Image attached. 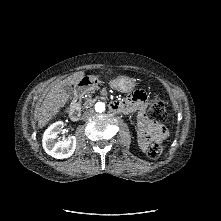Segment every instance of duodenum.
Here are the masks:
<instances>
[{"instance_id": "duodenum-1", "label": "duodenum", "mask_w": 221, "mask_h": 221, "mask_svg": "<svg viewBox=\"0 0 221 221\" xmlns=\"http://www.w3.org/2000/svg\"><path fill=\"white\" fill-rule=\"evenodd\" d=\"M93 82L90 78L83 79L79 82L75 90V97L71 104L69 115L72 120H78L81 116V101L87 88L92 86ZM110 110L114 113H127L126 105L121 101L109 103Z\"/></svg>"}]
</instances>
